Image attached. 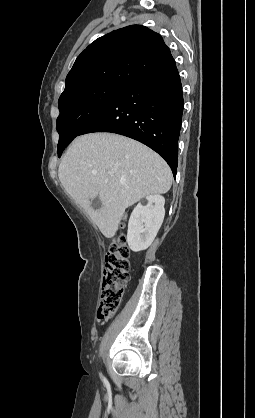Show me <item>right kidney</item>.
I'll return each instance as SVG.
<instances>
[{
    "label": "right kidney",
    "mask_w": 255,
    "mask_h": 418,
    "mask_svg": "<svg viewBox=\"0 0 255 418\" xmlns=\"http://www.w3.org/2000/svg\"><path fill=\"white\" fill-rule=\"evenodd\" d=\"M163 196L148 195L134 208L128 223L127 242L133 252L147 249L155 239L165 216Z\"/></svg>",
    "instance_id": "ca27d5eb"
}]
</instances>
